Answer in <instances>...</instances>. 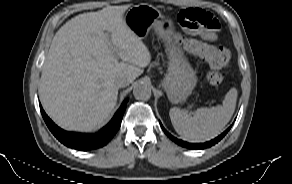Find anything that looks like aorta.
<instances>
[{"instance_id":"aorta-1","label":"aorta","mask_w":292,"mask_h":184,"mask_svg":"<svg viewBox=\"0 0 292 184\" xmlns=\"http://www.w3.org/2000/svg\"><path fill=\"white\" fill-rule=\"evenodd\" d=\"M135 99L146 101L151 97V87L146 83H137L133 88Z\"/></svg>"}]
</instances>
